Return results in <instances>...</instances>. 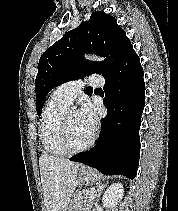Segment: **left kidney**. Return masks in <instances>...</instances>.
I'll return each instance as SVG.
<instances>
[{"instance_id":"obj_1","label":"left kidney","mask_w":178,"mask_h":211,"mask_svg":"<svg viewBox=\"0 0 178 211\" xmlns=\"http://www.w3.org/2000/svg\"><path fill=\"white\" fill-rule=\"evenodd\" d=\"M124 194L123 185L121 183H114L110 185L107 190L104 192L102 197L103 205L107 208H115L122 199Z\"/></svg>"}]
</instances>
